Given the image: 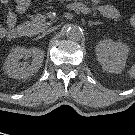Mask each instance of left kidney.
<instances>
[{
    "label": "left kidney",
    "mask_w": 135,
    "mask_h": 135,
    "mask_svg": "<svg viewBox=\"0 0 135 135\" xmlns=\"http://www.w3.org/2000/svg\"><path fill=\"white\" fill-rule=\"evenodd\" d=\"M95 49L97 60L105 71L122 72L129 52L126 44L106 39L98 42Z\"/></svg>",
    "instance_id": "left-kidney-1"
}]
</instances>
